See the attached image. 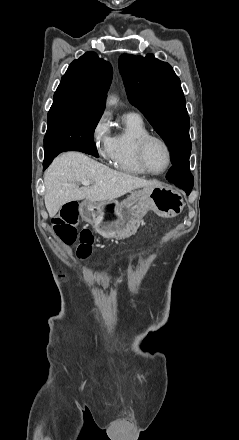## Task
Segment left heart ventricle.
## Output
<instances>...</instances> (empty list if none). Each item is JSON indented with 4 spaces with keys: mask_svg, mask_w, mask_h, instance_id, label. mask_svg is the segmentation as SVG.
Wrapping results in <instances>:
<instances>
[{
    "mask_svg": "<svg viewBox=\"0 0 239 440\" xmlns=\"http://www.w3.org/2000/svg\"><path fill=\"white\" fill-rule=\"evenodd\" d=\"M146 158L150 169L154 172L163 171L168 164V155L164 145L159 141L149 143Z\"/></svg>",
    "mask_w": 239,
    "mask_h": 440,
    "instance_id": "b2bd125f",
    "label": "left heart ventricle"
}]
</instances>
